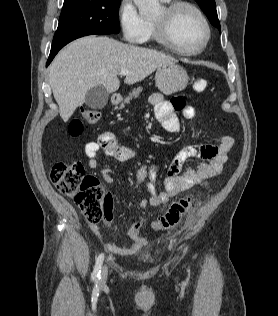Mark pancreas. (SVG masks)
Returning a JSON list of instances; mask_svg holds the SVG:
<instances>
[{
	"label": "pancreas",
	"instance_id": "pancreas-1",
	"mask_svg": "<svg viewBox=\"0 0 278 316\" xmlns=\"http://www.w3.org/2000/svg\"><path fill=\"white\" fill-rule=\"evenodd\" d=\"M141 92H142L141 87L133 89V91L129 93V96L120 105L119 109H123L125 107V104H128L133 98H137Z\"/></svg>",
	"mask_w": 278,
	"mask_h": 316
}]
</instances>
